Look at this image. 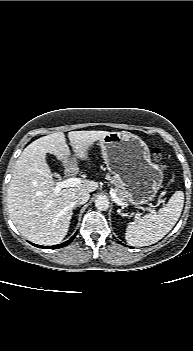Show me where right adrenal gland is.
I'll return each instance as SVG.
<instances>
[{
  "label": "right adrenal gland",
  "instance_id": "obj_1",
  "mask_svg": "<svg viewBox=\"0 0 193 351\" xmlns=\"http://www.w3.org/2000/svg\"><path fill=\"white\" fill-rule=\"evenodd\" d=\"M76 207H79V205H75L73 209H75Z\"/></svg>",
  "mask_w": 193,
  "mask_h": 351
}]
</instances>
